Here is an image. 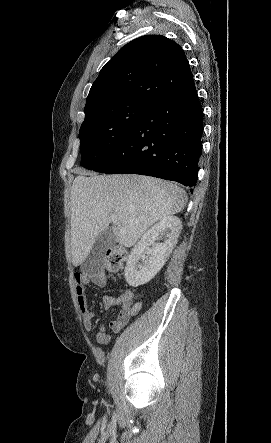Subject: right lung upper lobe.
<instances>
[{"label": "right lung upper lobe", "mask_w": 271, "mask_h": 443, "mask_svg": "<svg viewBox=\"0 0 271 443\" xmlns=\"http://www.w3.org/2000/svg\"><path fill=\"white\" fill-rule=\"evenodd\" d=\"M193 84L180 45L161 35L142 36L122 47L102 68L88 94L85 119L105 104L129 99L151 103Z\"/></svg>", "instance_id": "1"}]
</instances>
